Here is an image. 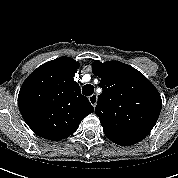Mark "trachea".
I'll use <instances>...</instances> for the list:
<instances>
[{"label":"trachea","mask_w":178,"mask_h":178,"mask_svg":"<svg viewBox=\"0 0 178 178\" xmlns=\"http://www.w3.org/2000/svg\"><path fill=\"white\" fill-rule=\"evenodd\" d=\"M93 92H94V86L91 84H86L82 87V93L85 96H90L93 94Z\"/></svg>","instance_id":"1"}]
</instances>
